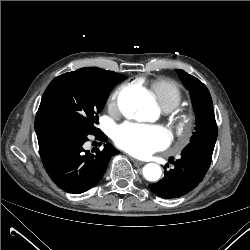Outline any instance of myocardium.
Here are the masks:
<instances>
[{
    "label": "myocardium",
    "mask_w": 250,
    "mask_h": 250,
    "mask_svg": "<svg viewBox=\"0 0 250 250\" xmlns=\"http://www.w3.org/2000/svg\"><path fill=\"white\" fill-rule=\"evenodd\" d=\"M173 128L183 141H186L192 133L194 116L190 112H180L173 117Z\"/></svg>",
    "instance_id": "f54148a6"
}]
</instances>
